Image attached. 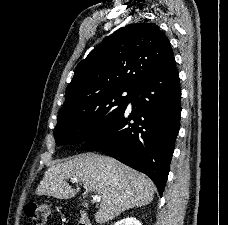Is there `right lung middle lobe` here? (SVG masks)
Segmentation results:
<instances>
[{
	"label": "right lung middle lobe",
	"instance_id": "obj_1",
	"mask_svg": "<svg viewBox=\"0 0 228 225\" xmlns=\"http://www.w3.org/2000/svg\"><path fill=\"white\" fill-rule=\"evenodd\" d=\"M133 91L111 86L63 105L54 131L56 143L76 144L92 137L125 107Z\"/></svg>",
	"mask_w": 228,
	"mask_h": 225
}]
</instances>
